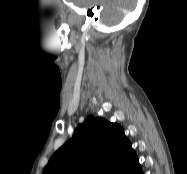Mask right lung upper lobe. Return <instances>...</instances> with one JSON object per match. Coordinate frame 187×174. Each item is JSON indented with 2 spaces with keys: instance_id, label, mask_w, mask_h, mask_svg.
I'll list each match as a JSON object with an SVG mask.
<instances>
[{
  "instance_id": "right-lung-upper-lobe-1",
  "label": "right lung upper lobe",
  "mask_w": 187,
  "mask_h": 174,
  "mask_svg": "<svg viewBox=\"0 0 187 174\" xmlns=\"http://www.w3.org/2000/svg\"><path fill=\"white\" fill-rule=\"evenodd\" d=\"M140 168L123 128L89 116L50 158L43 174H134Z\"/></svg>"
}]
</instances>
